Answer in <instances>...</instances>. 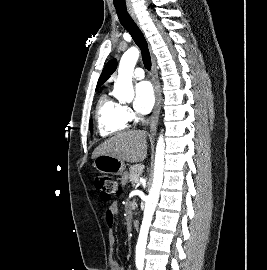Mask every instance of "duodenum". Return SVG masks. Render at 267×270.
<instances>
[{
	"label": "duodenum",
	"instance_id": "duodenum-1",
	"mask_svg": "<svg viewBox=\"0 0 267 270\" xmlns=\"http://www.w3.org/2000/svg\"><path fill=\"white\" fill-rule=\"evenodd\" d=\"M132 225H133L134 229H138L139 228V221L137 219H134L132 221Z\"/></svg>",
	"mask_w": 267,
	"mask_h": 270
}]
</instances>
